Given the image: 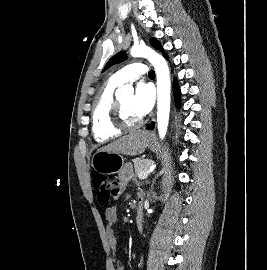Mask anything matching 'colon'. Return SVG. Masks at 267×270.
Returning <instances> with one entry per match:
<instances>
[{"label": "colon", "instance_id": "colon-1", "mask_svg": "<svg viewBox=\"0 0 267 270\" xmlns=\"http://www.w3.org/2000/svg\"><path fill=\"white\" fill-rule=\"evenodd\" d=\"M93 186L97 191L98 200L106 204L121 192L120 181L104 174H97L93 178Z\"/></svg>", "mask_w": 267, "mask_h": 270}]
</instances>
